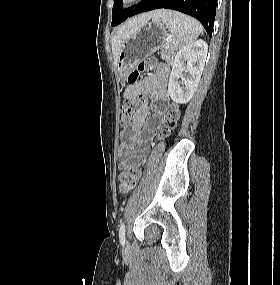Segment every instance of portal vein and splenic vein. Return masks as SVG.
Returning a JSON list of instances; mask_svg holds the SVG:
<instances>
[{
    "label": "portal vein and splenic vein",
    "mask_w": 280,
    "mask_h": 285,
    "mask_svg": "<svg viewBox=\"0 0 280 285\" xmlns=\"http://www.w3.org/2000/svg\"><path fill=\"white\" fill-rule=\"evenodd\" d=\"M171 41V37H167L166 38V44H169V42ZM167 47V46H166Z\"/></svg>",
    "instance_id": "1"
}]
</instances>
